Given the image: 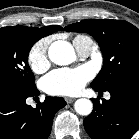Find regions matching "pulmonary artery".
Segmentation results:
<instances>
[{"label":"pulmonary artery","instance_id":"1","mask_svg":"<svg viewBox=\"0 0 139 139\" xmlns=\"http://www.w3.org/2000/svg\"><path fill=\"white\" fill-rule=\"evenodd\" d=\"M73 45L82 57H87L90 55L93 49V41L88 36L79 35L73 39ZM109 98V96H107Z\"/></svg>","mask_w":139,"mask_h":139}]
</instances>
